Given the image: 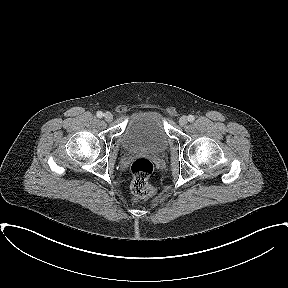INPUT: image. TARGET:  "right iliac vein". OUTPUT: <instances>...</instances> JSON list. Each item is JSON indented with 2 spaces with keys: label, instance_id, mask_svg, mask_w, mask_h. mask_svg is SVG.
Masks as SVG:
<instances>
[{
  "label": "right iliac vein",
  "instance_id": "obj_1",
  "mask_svg": "<svg viewBox=\"0 0 288 288\" xmlns=\"http://www.w3.org/2000/svg\"><path fill=\"white\" fill-rule=\"evenodd\" d=\"M104 119H105L107 122H110V121H112V119H113V115H112L110 112H106V113L104 114Z\"/></svg>",
  "mask_w": 288,
  "mask_h": 288
}]
</instances>
